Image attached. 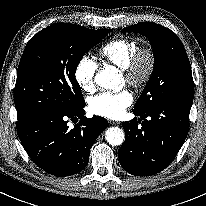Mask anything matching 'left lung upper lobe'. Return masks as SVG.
Listing matches in <instances>:
<instances>
[{
  "mask_svg": "<svg viewBox=\"0 0 206 206\" xmlns=\"http://www.w3.org/2000/svg\"><path fill=\"white\" fill-rule=\"evenodd\" d=\"M122 32H137L146 36L155 56L152 76L133 111L143 112L158 103H192L194 86L191 66L178 36L170 29L151 22L126 27Z\"/></svg>",
  "mask_w": 206,
  "mask_h": 206,
  "instance_id": "left-lung-upper-lobe-1",
  "label": "left lung upper lobe"
}]
</instances>
